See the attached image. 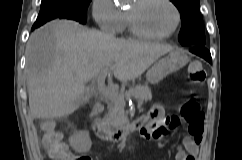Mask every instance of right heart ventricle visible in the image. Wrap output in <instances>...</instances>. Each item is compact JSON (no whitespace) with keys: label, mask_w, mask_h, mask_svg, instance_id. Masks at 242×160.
Returning a JSON list of instances; mask_svg holds the SVG:
<instances>
[{"label":"right heart ventricle","mask_w":242,"mask_h":160,"mask_svg":"<svg viewBox=\"0 0 242 160\" xmlns=\"http://www.w3.org/2000/svg\"><path fill=\"white\" fill-rule=\"evenodd\" d=\"M129 25H128V21H127V17L124 16V23H123V28L122 29H128Z\"/></svg>","instance_id":"right-heart-ventricle-1"}]
</instances>
